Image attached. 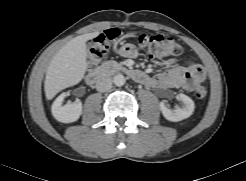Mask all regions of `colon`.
I'll use <instances>...</instances> for the list:
<instances>
[{"label": "colon", "instance_id": "5ec220e1", "mask_svg": "<svg viewBox=\"0 0 246 181\" xmlns=\"http://www.w3.org/2000/svg\"><path fill=\"white\" fill-rule=\"evenodd\" d=\"M119 36V31L115 28L109 29L99 34L91 43L89 50V67L94 68L101 61L111 46ZM137 41L140 49L152 58H161L167 55H178L181 53V47L171 38L161 34H144L137 35ZM191 69L200 74L202 68L199 64H192ZM195 96L203 100L207 97V89L199 87L195 91Z\"/></svg>", "mask_w": 246, "mask_h": 181}]
</instances>
